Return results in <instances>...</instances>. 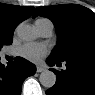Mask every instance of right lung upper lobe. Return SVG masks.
Masks as SVG:
<instances>
[{
  "mask_svg": "<svg viewBox=\"0 0 95 95\" xmlns=\"http://www.w3.org/2000/svg\"><path fill=\"white\" fill-rule=\"evenodd\" d=\"M33 7L0 4V39L13 37L16 26L31 16Z\"/></svg>",
  "mask_w": 95,
  "mask_h": 95,
  "instance_id": "obj_1",
  "label": "right lung upper lobe"
}]
</instances>
